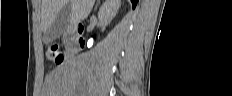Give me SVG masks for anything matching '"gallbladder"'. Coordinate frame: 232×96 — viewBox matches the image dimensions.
<instances>
[{"mask_svg": "<svg viewBox=\"0 0 232 96\" xmlns=\"http://www.w3.org/2000/svg\"><path fill=\"white\" fill-rule=\"evenodd\" d=\"M70 12L71 7L68 4L61 8L51 26L44 35L43 41L45 43L54 41L64 33L68 23Z\"/></svg>", "mask_w": 232, "mask_h": 96, "instance_id": "1", "label": "gallbladder"}]
</instances>
